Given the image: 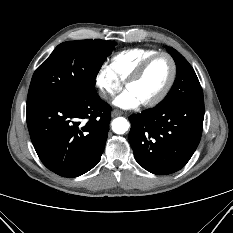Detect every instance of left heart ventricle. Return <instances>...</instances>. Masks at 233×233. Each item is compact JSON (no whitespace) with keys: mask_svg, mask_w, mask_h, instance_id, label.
<instances>
[{"mask_svg":"<svg viewBox=\"0 0 233 233\" xmlns=\"http://www.w3.org/2000/svg\"><path fill=\"white\" fill-rule=\"evenodd\" d=\"M172 73L170 60L160 57L150 64L143 76L126 89L142 103L157 96L169 81Z\"/></svg>","mask_w":233,"mask_h":233,"instance_id":"left-heart-ventricle-1","label":"left heart ventricle"}]
</instances>
